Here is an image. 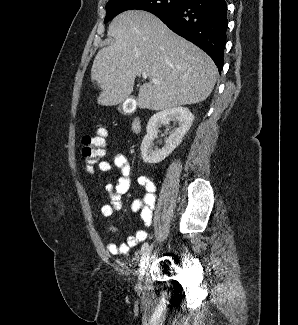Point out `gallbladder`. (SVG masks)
Instances as JSON below:
<instances>
[{
    "instance_id": "gallbladder-1",
    "label": "gallbladder",
    "mask_w": 298,
    "mask_h": 325,
    "mask_svg": "<svg viewBox=\"0 0 298 325\" xmlns=\"http://www.w3.org/2000/svg\"><path fill=\"white\" fill-rule=\"evenodd\" d=\"M117 110H119V112H123V104H119V106H117Z\"/></svg>"
}]
</instances>
